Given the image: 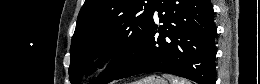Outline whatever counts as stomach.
I'll use <instances>...</instances> for the list:
<instances>
[{
  "mask_svg": "<svg viewBox=\"0 0 260 84\" xmlns=\"http://www.w3.org/2000/svg\"><path fill=\"white\" fill-rule=\"evenodd\" d=\"M133 84H167L166 80L158 75H150Z\"/></svg>",
  "mask_w": 260,
  "mask_h": 84,
  "instance_id": "stomach-1",
  "label": "stomach"
}]
</instances>
